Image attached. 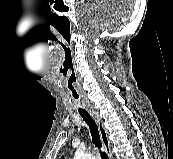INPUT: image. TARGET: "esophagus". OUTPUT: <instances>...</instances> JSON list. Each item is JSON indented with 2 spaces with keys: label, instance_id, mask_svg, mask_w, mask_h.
<instances>
[{
  "label": "esophagus",
  "instance_id": "obj_1",
  "mask_svg": "<svg viewBox=\"0 0 173 159\" xmlns=\"http://www.w3.org/2000/svg\"><path fill=\"white\" fill-rule=\"evenodd\" d=\"M87 110L91 114V116L93 117V119L95 120V122L98 126L100 139H101L103 148L108 155V158L114 159L113 155H112V151H111V145H110L108 133H107V130L105 129V127L103 125V121H102L98 111L93 107H88Z\"/></svg>",
  "mask_w": 173,
  "mask_h": 159
}]
</instances>
